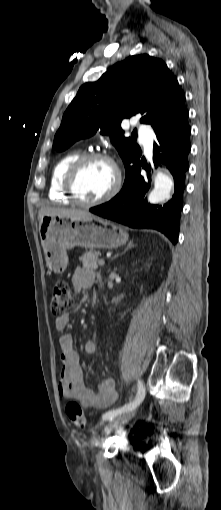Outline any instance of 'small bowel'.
I'll return each mask as SVG.
<instances>
[{
  "label": "small bowel",
  "mask_w": 221,
  "mask_h": 510,
  "mask_svg": "<svg viewBox=\"0 0 221 510\" xmlns=\"http://www.w3.org/2000/svg\"><path fill=\"white\" fill-rule=\"evenodd\" d=\"M96 276L92 269L77 267L72 275V284L77 291L89 289L95 283ZM71 323V316L65 313L55 320L57 330H65ZM61 347V373L58 385V395L64 400H75L85 408L103 409L112 405L117 392L114 381L111 378H104L96 389L86 384L85 373L80 362L79 355L74 349V340L70 334L60 337ZM84 351L87 355L96 352V345L93 341L85 343Z\"/></svg>",
  "instance_id": "1"
}]
</instances>
